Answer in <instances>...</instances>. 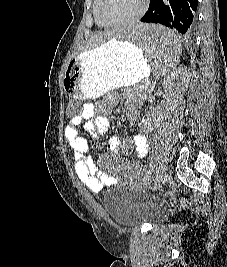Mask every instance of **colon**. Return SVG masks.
I'll list each match as a JSON object with an SVG mask.
<instances>
[{
    "instance_id": "5ec220e1",
    "label": "colon",
    "mask_w": 227,
    "mask_h": 267,
    "mask_svg": "<svg viewBox=\"0 0 227 267\" xmlns=\"http://www.w3.org/2000/svg\"><path fill=\"white\" fill-rule=\"evenodd\" d=\"M78 110H81V105H77V102L73 101L68 105V109L65 111V116H76L78 115Z\"/></svg>"
}]
</instances>
